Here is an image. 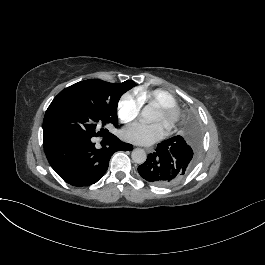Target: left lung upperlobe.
Listing matches in <instances>:
<instances>
[{"label": "left lung upper lobe", "instance_id": "1", "mask_svg": "<svg viewBox=\"0 0 265 265\" xmlns=\"http://www.w3.org/2000/svg\"><path fill=\"white\" fill-rule=\"evenodd\" d=\"M183 136L187 141V144L195 151V156H197L201 146V132L198 123L193 117L189 119L183 132Z\"/></svg>", "mask_w": 265, "mask_h": 265}]
</instances>
